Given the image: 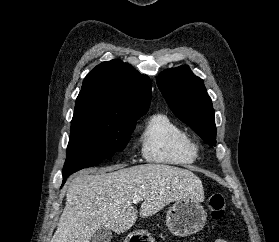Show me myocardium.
<instances>
[{
    "instance_id": "myocardium-1",
    "label": "myocardium",
    "mask_w": 279,
    "mask_h": 242,
    "mask_svg": "<svg viewBox=\"0 0 279 242\" xmlns=\"http://www.w3.org/2000/svg\"><path fill=\"white\" fill-rule=\"evenodd\" d=\"M188 144L190 146V148L197 153L198 151V144L191 138L188 137Z\"/></svg>"
}]
</instances>
